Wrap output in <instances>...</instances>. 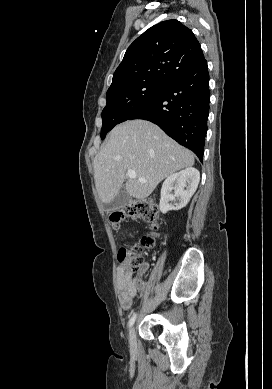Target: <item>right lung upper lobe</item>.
Segmentation results:
<instances>
[{"label": "right lung upper lobe", "mask_w": 272, "mask_h": 389, "mask_svg": "<svg viewBox=\"0 0 272 389\" xmlns=\"http://www.w3.org/2000/svg\"><path fill=\"white\" fill-rule=\"evenodd\" d=\"M204 60L193 32L177 20L163 21L127 49L109 90L143 80L167 82Z\"/></svg>", "instance_id": "obj_1"}]
</instances>
